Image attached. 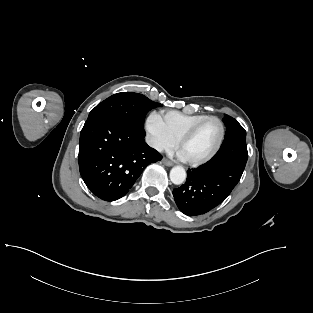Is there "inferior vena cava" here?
<instances>
[{
    "label": "inferior vena cava",
    "mask_w": 313,
    "mask_h": 313,
    "mask_svg": "<svg viewBox=\"0 0 313 313\" xmlns=\"http://www.w3.org/2000/svg\"><path fill=\"white\" fill-rule=\"evenodd\" d=\"M146 141H147V143L151 146V147H153V148H155L156 150H158V151H162L163 150V148H162V145L157 141V140H155L154 138H152L151 136H147L146 137Z\"/></svg>",
    "instance_id": "obj_1"
}]
</instances>
